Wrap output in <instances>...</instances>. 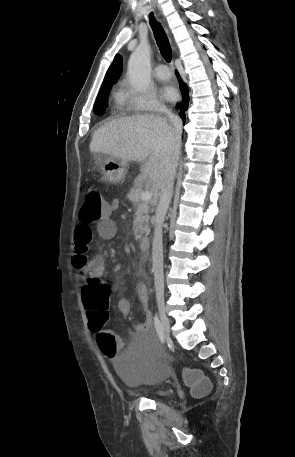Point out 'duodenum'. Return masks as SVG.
<instances>
[{
	"mask_svg": "<svg viewBox=\"0 0 295 457\" xmlns=\"http://www.w3.org/2000/svg\"><path fill=\"white\" fill-rule=\"evenodd\" d=\"M140 249L143 253H147L150 247V238L142 237L139 242Z\"/></svg>",
	"mask_w": 295,
	"mask_h": 457,
	"instance_id": "duodenum-1",
	"label": "duodenum"
}]
</instances>
